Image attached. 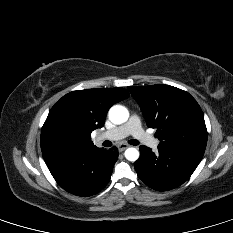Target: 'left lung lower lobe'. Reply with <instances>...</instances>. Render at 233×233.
<instances>
[{"mask_svg":"<svg viewBox=\"0 0 233 233\" xmlns=\"http://www.w3.org/2000/svg\"><path fill=\"white\" fill-rule=\"evenodd\" d=\"M204 151L199 148L158 146L154 153L146 146H140V158L135 162L139 178L157 191L174 189L192 175L200 163Z\"/></svg>","mask_w":233,"mask_h":233,"instance_id":"0a47b994","label":"left lung lower lobe"}]
</instances>
